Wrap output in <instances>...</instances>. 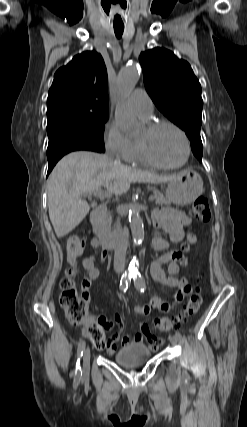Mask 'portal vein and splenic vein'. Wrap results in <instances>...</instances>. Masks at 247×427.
<instances>
[{
  "label": "portal vein and splenic vein",
  "instance_id": "obj_1",
  "mask_svg": "<svg viewBox=\"0 0 247 427\" xmlns=\"http://www.w3.org/2000/svg\"><path fill=\"white\" fill-rule=\"evenodd\" d=\"M94 195L95 196H98V197H104V196H110V193L109 192H106V191H102V190H96L95 192H94ZM154 200V196L153 195H150L149 196V201H153Z\"/></svg>",
  "mask_w": 247,
  "mask_h": 427
}]
</instances>
